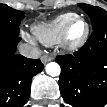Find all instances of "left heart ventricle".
<instances>
[{
    "label": "left heart ventricle",
    "mask_w": 107,
    "mask_h": 107,
    "mask_svg": "<svg viewBox=\"0 0 107 107\" xmlns=\"http://www.w3.org/2000/svg\"><path fill=\"white\" fill-rule=\"evenodd\" d=\"M84 31V23L80 20H77L73 23L71 29H70V37L72 39L79 38Z\"/></svg>",
    "instance_id": "1"
}]
</instances>
